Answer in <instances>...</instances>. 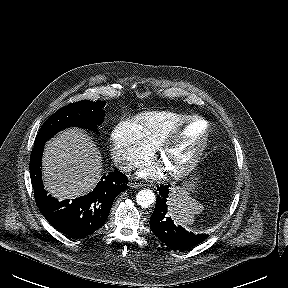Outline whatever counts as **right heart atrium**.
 <instances>
[{"label": "right heart atrium", "instance_id": "d8ad5b80", "mask_svg": "<svg viewBox=\"0 0 288 288\" xmlns=\"http://www.w3.org/2000/svg\"><path fill=\"white\" fill-rule=\"evenodd\" d=\"M111 144L113 157L122 169H130L146 162L154 151L139 124L132 119L122 120L114 127Z\"/></svg>", "mask_w": 288, "mask_h": 288}]
</instances>
